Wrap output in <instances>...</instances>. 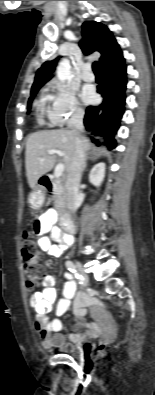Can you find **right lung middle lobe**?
<instances>
[{
  "label": "right lung middle lobe",
  "mask_w": 155,
  "mask_h": 395,
  "mask_svg": "<svg viewBox=\"0 0 155 395\" xmlns=\"http://www.w3.org/2000/svg\"><path fill=\"white\" fill-rule=\"evenodd\" d=\"M36 95V93L35 94H32L31 96L33 97V96H35ZM32 97L30 98V100H29V106H28V109H30V105H31V101H32Z\"/></svg>",
  "instance_id": "right-lung-middle-lobe-1"
}]
</instances>
